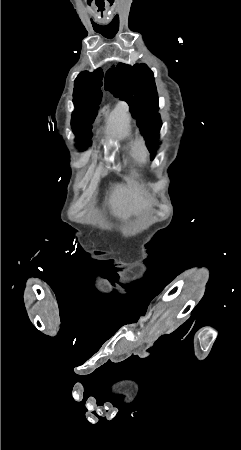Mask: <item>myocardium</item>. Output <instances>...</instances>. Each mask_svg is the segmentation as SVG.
Listing matches in <instances>:
<instances>
[{
	"label": "myocardium",
	"mask_w": 241,
	"mask_h": 450,
	"mask_svg": "<svg viewBox=\"0 0 241 450\" xmlns=\"http://www.w3.org/2000/svg\"><path fill=\"white\" fill-rule=\"evenodd\" d=\"M136 140L138 141V144L132 145L133 149H137L135 156L142 157V159H140V160H142V162H144V163L150 162V160H151L150 157H145L146 154L144 152H142V150L148 149V144H144V141L141 137H138Z\"/></svg>",
	"instance_id": "myocardium-1"
}]
</instances>
